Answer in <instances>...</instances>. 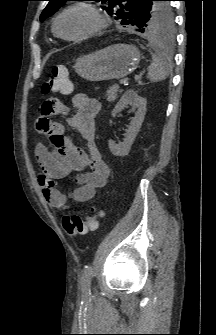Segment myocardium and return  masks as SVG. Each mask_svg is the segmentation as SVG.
I'll use <instances>...</instances> for the list:
<instances>
[{
    "label": "myocardium",
    "mask_w": 216,
    "mask_h": 335,
    "mask_svg": "<svg viewBox=\"0 0 216 335\" xmlns=\"http://www.w3.org/2000/svg\"><path fill=\"white\" fill-rule=\"evenodd\" d=\"M84 10L87 13H89L94 20V24L92 25V27H90L88 30H86L85 32L77 35V36H73V37H66L64 35H62L59 30H58V22L60 20V18L67 12L71 11V10ZM107 26V20L105 18V16L101 13V11L91 5V4H87V3H74L71 4L67 7H65L63 10H61L55 17L54 21H53V25H52V29L53 32L61 39L66 40V41H80L83 39H86L92 35H95L96 33L102 31L105 27Z\"/></svg>",
    "instance_id": "myocardium-1"
}]
</instances>
